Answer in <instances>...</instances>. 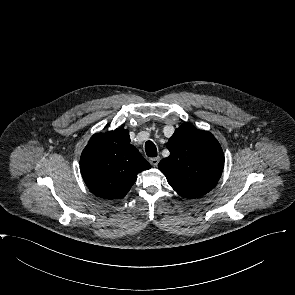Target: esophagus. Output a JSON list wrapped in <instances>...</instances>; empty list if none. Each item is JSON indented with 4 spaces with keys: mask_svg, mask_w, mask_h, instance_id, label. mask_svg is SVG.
Here are the masks:
<instances>
[{
    "mask_svg": "<svg viewBox=\"0 0 295 295\" xmlns=\"http://www.w3.org/2000/svg\"><path fill=\"white\" fill-rule=\"evenodd\" d=\"M150 163L152 166L156 167L160 161V157L157 156V157H153V158H150Z\"/></svg>",
    "mask_w": 295,
    "mask_h": 295,
    "instance_id": "34e87169",
    "label": "esophagus"
}]
</instances>
